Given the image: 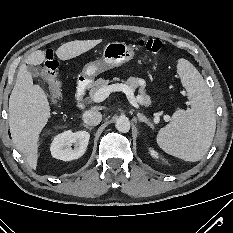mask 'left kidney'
<instances>
[{"label": "left kidney", "mask_w": 233, "mask_h": 233, "mask_svg": "<svg viewBox=\"0 0 233 233\" xmlns=\"http://www.w3.org/2000/svg\"><path fill=\"white\" fill-rule=\"evenodd\" d=\"M149 151H150V155L156 159H159L160 156L158 154V152H156L153 148H149ZM163 160V158H161Z\"/></svg>", "instance_id": "1"}]
</instances>
